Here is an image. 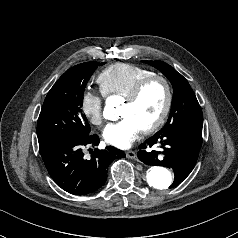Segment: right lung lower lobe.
<instances>
[{"instance_id": "1", "label": "right lung lower lobe", "mask_w": 238, "mask_h": 238, "mask_svg": "<svg viewBox=\"0 0 238 238\" xmlns=\"http://www.w3.org/2000/svg\"><path fill=\"white\" fill-rule=\"evenodd\" d=\"M99 144L96 134L65 140L40 149L49 175L68 193L87 195L98 191L107 179L106 169L117 158L125 157L123 151L112 146L91 151L90 160L84 159V146Z\"/></svg>"}]
</instances>
